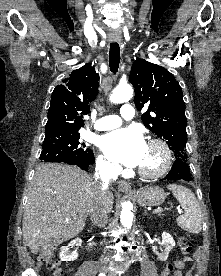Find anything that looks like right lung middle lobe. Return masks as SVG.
<instances>
[{
    "mask_svg": "<svg viewBox=\"0 0 221 276\" xmlns=\"http://www.w3.org/2000/svg\"><path fill=\"white\" fill-rule=\"evenodd\" d=\"M78 132L45 134L41 162H63L68 160L90 161L94 159L93 151L85 149L79 142Z\"/></svg>",
    "mask_w": 221,
    "mask_h": 276,
    "instance_id": "right-lung-middle-lobe-1",
    "label": "right lung middle lobe"
}]
</instances>
